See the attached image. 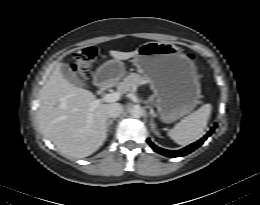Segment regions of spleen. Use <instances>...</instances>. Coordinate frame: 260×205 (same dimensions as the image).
<instances>
[{
    "label": "spleen",
    "instance_id": "3e777b00",
    "mask_svg": "<svg viewBox=\"0 0 260 205\" xmlns=\"http://www.w3.org/2000/svg\"><path fill=\"white\" fill-rule=\"evenodd\" d=\"M212 106L202 105L197 111L182 119L169 131V137L179 145H188L202 137Z\"/></svg>",
    "mask_w": 260,
    "mask_h": 205
}]
</instances>
